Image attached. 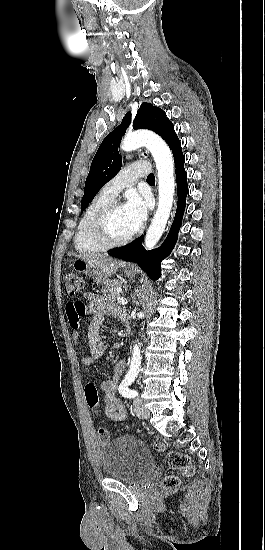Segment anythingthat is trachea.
<instances>
[{"label":"trachea","instance_id":"3493384b","mask_svg":"<svg viewBox=\"0 0 265 550\" xmlns=\"http://www.w3.org/2000/svg\"><path fill=\"white\" fill-rule=\"evenodd\" d=\"M147 182L150 183V182H155V176L153 174H149L147 176Z\"/></svg>","mask_w":265,"mask_h":550}]
</instances>
